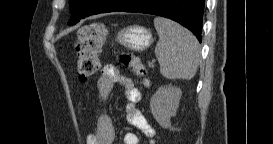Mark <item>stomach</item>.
Returning <instances> with one entry per match:
<instances>
[{
    "label": "stomach",
    "mask_w": 273,
    "mask_h": 144,
    "mask_svg": "<svg viewBox=\"0 0 273 144\" xmlns=\"http://www.w3.org/2000/svg\"><path fill=\"white\" fill-rule=\"evenodd\" d=\"M116 40L123 46L134 50L143 51L152 44L151 32L139 25L128 26L118 32Z\"/></svg>",
    "instance_id": "0dacf381"
}]
</instances>
